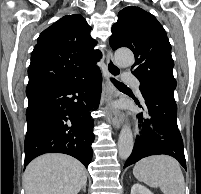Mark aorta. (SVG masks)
<instances>
[{"instance_id":"1","label":"aorta","mask_w":201,"mask_h":194,"mask_svg":"<svg viewBox=\"0 0 201 194\" xmlns=\"http://www.w3.org/2000/svg\"><path fill=\"white\" fill-rule=\"evenodd\" d=\"M117 65L121 67H129L134 62V55L129 49H118L114 54ZM133 134L129 126L125 125L119 135L118 150L119 157L126 160L133 149Z\"/></svg>"}]
</instances>
